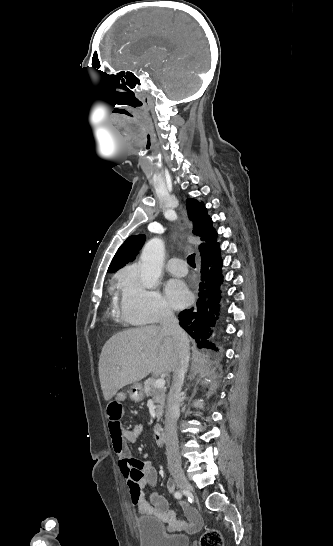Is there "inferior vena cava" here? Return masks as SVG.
Here are the masks:
<instances>
[{
  "instance_id": "602c4592",
  "label": "inferior vena cava",
  "mask_w": 333,
  "mask_h": 546,
  "mask_svg": "<svg viewBox=\"0 0 333 546\" xmlns=\"http://www.w3.org/2000/svg\"><path fill=\"white\" fill-rule=\"evenodd\" d=\"M161 331L172 336L175 342L178 363L173 371L172 384L167 397L165 415L166 455L170 469L180 468L181 459L177 438V419L180 415V391L189 366L190 348L186 332L180 327L174 313L166 309L161 316Z\"/></svg>"
}]
</instances>
